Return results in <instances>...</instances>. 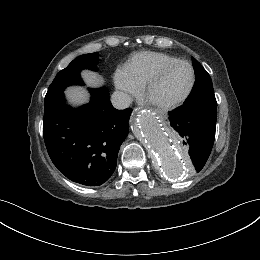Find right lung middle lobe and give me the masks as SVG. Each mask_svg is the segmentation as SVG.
<instances>
[{
	"label": "right lung middle lobe",
	"instance_id": "right-lung-middle-lobe-1",
	"mask_svg": "<svg viewBox=\"0 0 260 260\" xmlns=\"http://www.w3.org/2000/svg\"><path fill=\"white\" fill-rule=\"evenodd\" d=\"M99 62L98 52L84 54L74 59L65 69L61 70L49 86L46 97L52 94L63 92V90L74 84H83L80 77L82 69L96 70Z\"/></svg>",
	"mask_w": 260,
	"mask_h": 260
}]
</instances>
